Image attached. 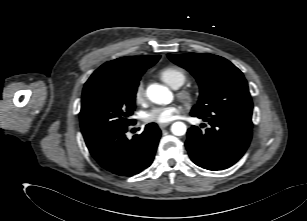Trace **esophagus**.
I'll list each match as a JSON object with an SVG mask.
<instances>
[{
  "label": "esophagus",
  "instance_id": "obj_1",
  "mask_svg": "<svg viewBox=\"0 0 307 221\" xmlns=\"http://www.w3.org/2000/svg\"><path fill=\"white\" fill-rule=\"evenodd\" d=\"M170 125V122H168V123H162V124H159V127H160V129H164V128H166L167 126H169Z\"/></svg>",
  "mask_w": 307,
  "mask_h": 221
}]
</instances>
